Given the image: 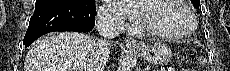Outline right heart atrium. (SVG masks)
Listing matches in <instances>:
<instances>
[{"mask_svg":"<svg viewBox=\"0 0 230 71\" xmlns=\"http://www.w3.org/2000/svg\"><path fill=\"white\" fill-rule=\"evenodd\" d=\"M99 17L105 25L117 30L123 29L126 25V21L122 14L115 9L102 7L99 10Z\"/></svg>","mask_w":230,"mask_h":71,"instance_id":"obj_1","label":"right heart atrium"}]
</instances>
